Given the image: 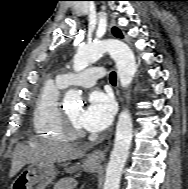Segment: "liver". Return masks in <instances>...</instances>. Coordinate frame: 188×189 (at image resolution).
Masks as SVG:
<instances>
[{
    "label": "liver",
    "mask_w": 188,
    "mask_h": 189,
    "mask_svg": "<svg viewBox=\"0 0 188 189\" xmlns=\"http://www.w3.org/2000/svg\"><path fill=\"white\" fill-rule=\"evenodd\" d=\"M83 155L84 152L81 149L69 144L47 143L30 146L19 144L12 155L9 177H14L28 163L54 164L74 160Z\"/></svg>",
    "instance_id": "liver-1"
}]
</instances>
